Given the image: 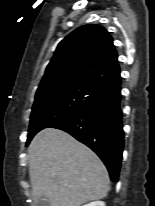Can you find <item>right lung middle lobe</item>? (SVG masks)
I'll return each mask as SVG.
<instances>
[{"label":"right lung middle lobe","mask_w":155,"mask_h":206,"mask_svg":"<svg viewBox=\"0 0 155 206\" xmlns=\"http://www.w3.org/2000/svg\"><path fill=\"white\" fill-rule=\"evenodd\" d=\"M102 94L97 89L83 85L37 92L30 117L27 145L37 132L75 115Z\"/></svg>","instance_id":"right-lung-middle-lobe-1"}]
</instances>
